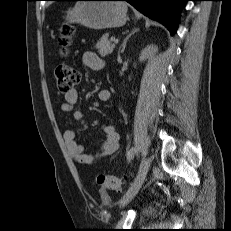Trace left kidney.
I'll return each mask as SVG.
<instances>
[{
    "mask_svg": "<svg viewBox=\"0 0 231 231\" xmlns=\"http://www.w3.org/2000/svg\"><path fill=\"white\" fill-rule=\"evenodd\" d=\"M157 51V47L156 46H147L145 49L142 50L140 56H139V60L140 61H144L147 58H149V56Z\"/></svg>",
    "mask_w": 231,
    "mask_h": 231,
    "instance_id": "1",
    "label": "left kidney"
}]
</instances>
